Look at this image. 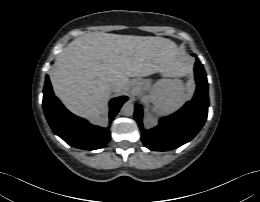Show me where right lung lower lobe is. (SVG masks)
<instances>
[{"mask_svg":"<svg viewBox=\"0 0 260 202\" xmlns=\"http://www.w3.org/2000/svg\"><path fill=\"white\" fill-rule=\"evenodd\" d=\"M43 94V108L49 125L54 133L69 145L84 150H96L109 142V128L93 126L70 113L54 96L48 76H46ZM126 100V96L111 100L110 122Z\"/></svg>","mask_w":260,"mask_h":202,"instance_id":"right-lung-lower-lobe-1","label":"right lung lower lobe"}]
</instances>
